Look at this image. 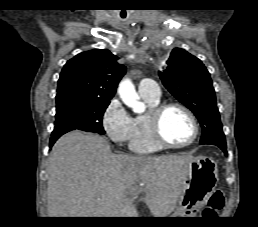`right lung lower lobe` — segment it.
<instances>
[{
    "label": "right lung lower lobe",
    "instance_id": "98d812e1",
    "mask_svg": "<svg viewBox=\"0 0 258 227\" xmlns=\"http://www.w3.org/2000/svg\"><path fill=\"white\" fill-rule=\"evenodd\" d=\"M66 132H69L68 129H64V128H54L52 135H51V139H50V145L49 147L51 148L53 146V144L55 143V141L63 134H65Z\"/></svg>",
    "mask_w": 258,
    "mask_h": 227
}]
</instances>
